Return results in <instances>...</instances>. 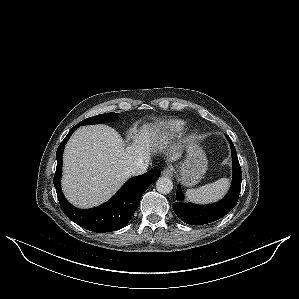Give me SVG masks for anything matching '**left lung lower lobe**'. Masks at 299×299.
Wrapping results in <instances>:
<instances>
[{
    "label": "left lung lower lobe",
    "instance_id": "1",
    "mask_svg": "<svg viewBox=\"0 0 299 299\" xmlns=\"http://www.w3.org/2000/svg\"><path fill=\"white\" fill-rule=\"evenodd\" d=\"M230 142L233 163V181L227 195L219 202L210 205H195L183 203V195L178 185L176 191L177 202L172 205L176 215L185 223L190 225H202L214 222L228 214L236 205L241 189L242 172L237 158L235 147Z\"/></svg>",
    "mask_w": 299,
    "mask_h": 299
}]
</instances>
